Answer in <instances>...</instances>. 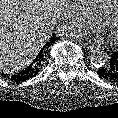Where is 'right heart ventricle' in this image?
<instances>
[{
	"instance_id": "obj_1",
	"label": "right heart ventricle",
	"mask_w": 118,
	"mask_h": 118,
	"mask_svg": "<svg viewBox=\"0 0 118 118\" xmlns=\"http://www.w3.org/2000/svg\"><path fill=\"white\" fill-rule=\"evenodd\" d=\"M93 19H102L113 0H79Z\"/></svg>"
}]
</instances>
